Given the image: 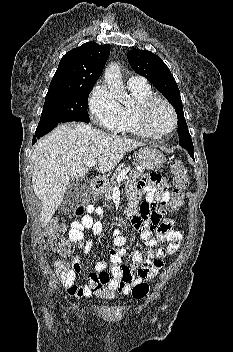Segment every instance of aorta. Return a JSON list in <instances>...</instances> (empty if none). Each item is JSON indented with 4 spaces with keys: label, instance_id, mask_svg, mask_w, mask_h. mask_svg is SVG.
<instances>
[{
    "label": "aorta",
    "instance_id": "obj_1",
    "mask_svg": "<svg viewBox=\"0 0 233 352\" xmlns=\"http://www.w3.org/2000/svg\"><path fill=\"white\" fill-rule=\"evenodd\" d=\"M104 81L115 99L120 102H127L130 100V96L123 85L122 75L118 64L111 63L106 67Z\"/></svg>",
    "mask_w": 233,
    "mask_h": 352
}]
</instances>
